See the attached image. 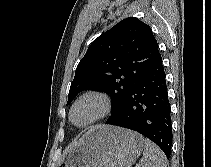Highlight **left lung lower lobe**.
I'll return each instance as SVG.
<instances>
[{
  "mask_svg": "<svg viewBox=\"0 0 211 167\" xmlns=\"http://www.w3.org/2000/svg\"><path fill=\"white\" fill-rule=\"evenodd\" d=\"M162 57L128 93L119 113L106 124L128 128L156 143L170 158L172 146L171 109Z\"/></svg>",
  "mask_w": 211,
  "mask_h": 167,
  "instance_id": "obj_1",
  "label": "left lung lower lobe"
}]
</instances>
